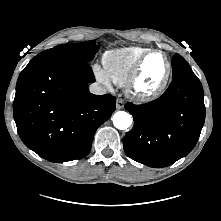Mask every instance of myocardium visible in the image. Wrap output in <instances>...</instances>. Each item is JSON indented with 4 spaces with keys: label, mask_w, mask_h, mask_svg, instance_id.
Masks as SVG:
<instances>
[{
    "label": "myocardium",
    "mask_w": 221,
    "mask_h": 221,
    "mask_svg": "<svg viewBox=\"0 0 221 221\" xmlns=\"http://www.w3.org/2000/svg\"><path fill=\"white\" fill-rule=\"evenodd\" d=\"M156 53L162 54L164 56L166 60V64H167L166 73L156 88L152 90H142L139 88V82H140V77L143 71L144 63L149 56H151L152 54H156ZM171 74H172V62L169 56L160 49H150L147 52H145L135 64L126 82L127 92L130 96H132L134 99L138 101L144 102V101L154 100L158 98L159 96H161L163 92L165 91L168 85V82L170 80Z\"/></svg>",
    "instance_id": "myocardium-1"
}]
</instances>
